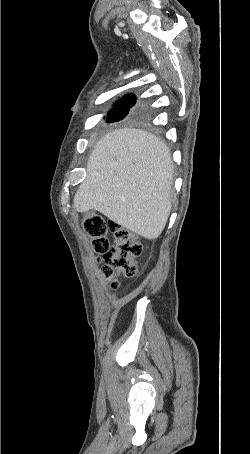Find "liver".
I'll list each match as a JSON object with an SVG mask.
<instances>
[{
    "mask_svg": "<svg viewBox=\"0 0 250 454\" xmlns=\"http://www.w3.org/2000/svg\"><path fill=\"white\" fill-rule=\"evenodd\" d=\"M74 208L96 210L149 240L164 230L171 211L174 166L165 142L147 131L123 128L92 151Z\"/></svg>",
    "mask_w": 250,
    "mask_h": 454,
    "instance_id": "obj_1",
    "label": "liver"
}]
</instances>
